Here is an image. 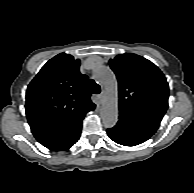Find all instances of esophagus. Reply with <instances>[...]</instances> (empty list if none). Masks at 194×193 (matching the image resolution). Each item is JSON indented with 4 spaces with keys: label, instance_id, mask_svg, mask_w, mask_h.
<instances>
[{
    "label": "esophagus",
    "instance_id": "esophagus-1",
    "mask_svg": "<svg viewBox=\"0 0 194 193\" xmlns=\"http://www.w3.org/2000/svg\"><path fill=\"white\" fill-rule=\"evenodd\" d=\"M98 98H99L100 102H102L103 98H104V93H101Z\"/></svg>",
    "mask_w": 194,
    "mask_h": 193
}]
</instances>
